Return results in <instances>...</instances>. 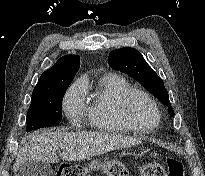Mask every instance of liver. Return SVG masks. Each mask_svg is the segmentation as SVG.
I'll return each instance as SVG.
<instances>
[{
	"mask_svg": "<svg viewBox=\"0 0 205 176\" xmlns=\"http://www.w3.org/2000/svg\"><path fill=\"white\" fill-rule=\"evenodd\" d=\"M138 143L135 139L106 133H69L41 131L32 137L19 150L13 171L29 161L58 163L56 150L61 148V159L80 161L108 151L126 148Z\"/></svg>",
	"mask_w": 205,
	"mask_h": 176,
	"instance_id": "1",
	"label": "liver"
}]
</instances>
